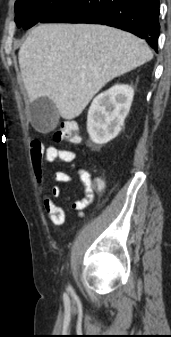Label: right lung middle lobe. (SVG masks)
I'll use <instances>...</instances> for the list:
<instances>
[{"label": "right lung middle lobe", "instance_id": "dd1d6c3e", "mask_svg": "<svg viewBox=\"0 0 171 337\" xmlns=\"http://www.w3.org/2000/svg\"><path fill=\"white\" fill-rule=\"evenodd\" d=\"M67 0H17L15 22L18 28L28 29L55 12Z\"/></svg>", "mask_w": 171, "mask_h": 337}]
</instances>
